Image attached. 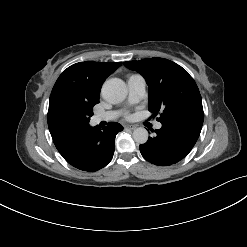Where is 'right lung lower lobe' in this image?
Segmentation results:
<instances>
[{
	"instance_id": "1",
	"label": "right lung lower lobe",
	"mask_w": 247,
	"mask_h": 247,
	"mask_svg": "<svg viewBox=\"0 0 247 247\" xmlns=\"http://www.w3.org/2000/svg\"><path fill=\"white\" fill-rule=\"evenodd\" d=\"M123 127L110 122L101 129L87 125L81 132L64 136L55 142L63 158L73 167L94 172L105 167L112 159L115 148V137Z\"/></svg>"
}]
</instances>
